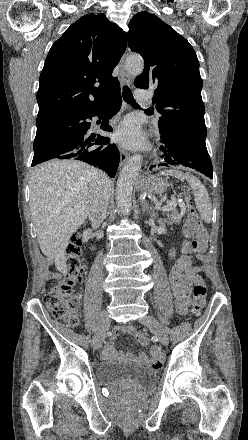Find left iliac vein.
Masks as SVG:
<instances>
[{
  "instance_id": "4c4485c4",
  "label": "left iliac vein",
  "mask_w": 248,
  "mask_h": 440,
  "mask_svg": "<svg viewBox=\"0 0 248 440\" xmlns=\"http://www.w3.org/2000/svg\"><path fill=\"white\" fill-rule=\"evenodd\" d=\"M140 322L147 326L157 337L158 341L162 345L168 344V335L165 332L163 326L152 315H146L140 319Z\"/></svg>"
}]
</instances>
